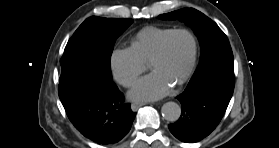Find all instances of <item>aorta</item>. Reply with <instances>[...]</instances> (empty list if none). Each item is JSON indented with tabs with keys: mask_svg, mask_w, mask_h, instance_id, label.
Wrapping results in <instances>:
<instances>
[{
	"mask_svg": "<svg viewBox=\"0 0 279 148\" xmlns=\"http://www.w3.org/2000/svg\"><path fill=\"white\" fill-rule=\"evenodd\" d=\"M163 117L170 122H175L181 115V107L175 102H167L161 109Z\"/></svg>",
	"mask_w": 279,
	"mask_h": 148,
	"instance_id": "obj_1",
	"label": "aorta"
}]
</instances>
